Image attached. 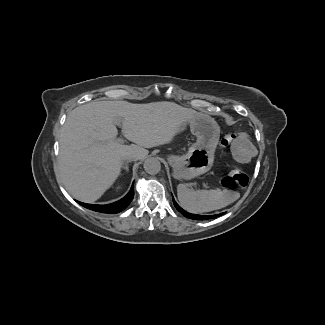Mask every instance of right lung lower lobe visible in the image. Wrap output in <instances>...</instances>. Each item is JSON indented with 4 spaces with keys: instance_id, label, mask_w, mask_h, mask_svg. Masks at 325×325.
<instances>
[{
    "instance_id": "obj_1",
    "label": "right lung lower lobe",
    "mask_w": 325,
    "mask_h": 325,
    "mask_svg": "<svg viewBox=\"0 0 325 325\" xmlns=\"http://www.w3.org/2000/svg\"><path fill=\"white\" fill-rule=\"evenodd\" d=\"M133 197H134V189L131 188V190L128 192V194L125 197L111 204L95 205V204H86L79 201L78 203L94 211L103 212V213H117L124 210L130 204Z\"/></svg>"
}]
</instances>
